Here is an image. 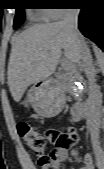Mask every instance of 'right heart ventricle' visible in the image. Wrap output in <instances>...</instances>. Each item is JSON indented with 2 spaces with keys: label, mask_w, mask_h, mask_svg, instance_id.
Masks as SVG:
<instances>
[{
  "label": "right heart ventricle",
  "mask_w": 104,
  "mask_h": 169,
  "mask_svg": "<svg viewBox=\"0 0 104 169\" xmlns=\"http://www.w3.org/2000/svg\"><path fill=\"white\" fill-rule=\"evenodd\" d=\"M36 14L40 16L41 19L48 20L47 15L49 14V11L47 9L37 10Z\"/></svg>",
  "instance_id": "1"
}]
</instances>
